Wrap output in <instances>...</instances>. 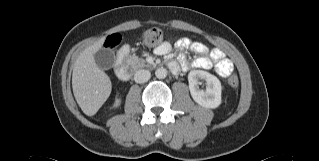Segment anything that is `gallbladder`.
Segmentation results:
<instances>
[{"label":"gallbladder","mask_w":319,"mask_h":161,"mask_svg":"<svg viewBox=\"0 0 319 161\" xmlns=\"http://www.w3.org/2000/svg\"><path fill=\"white\" fill-rule=\"evenodd\" d=\"M96 65L103 70H108L114 66L115 54L111 49H100L94 54Z\"/></svg>","instance_id":"1"}]
</instances>
